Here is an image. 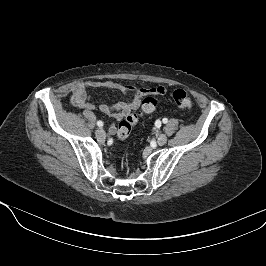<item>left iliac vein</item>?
<instances>
[{
	"instance_id": "1",
	"label": "left iliac vein",
	"mask_w": 266,
	"mask_h": 266,
	"mask_svg": "<svg viewBox=\"0 0 266 266\" xmlns=\"http://www.w3.org/2000/svg\"><path fill=\"white\" fill-rule=\"evenodd\" d=\"M167 142V136L165 134H160L157 138L158 145L162 146Z\"/></svg>"
}]
</instances>
